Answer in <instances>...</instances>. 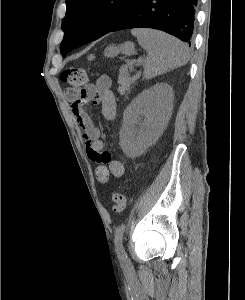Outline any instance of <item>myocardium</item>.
Listing matches in <instances>:
<instances>
[{"label": "myocardium", "mask_w": 245, "mask_h": 300, "mask_svg": "<svg viewBox=\"0 0 245 300\" xmlns=\"http://www.w3.org/2000/svg\"><path fill=\"white\" fill-rule=\"evenodd\" d=\"M99 20H100L99 17H95V18H94V21H95V22H97V21H99Z\"/></svg>", "instance_id": "1"}]
</instances>
